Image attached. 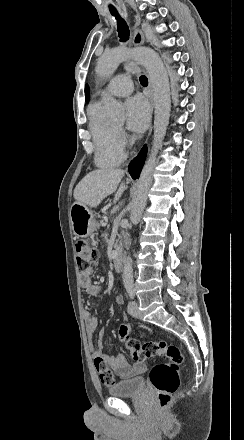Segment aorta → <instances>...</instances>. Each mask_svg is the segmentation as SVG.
<instances>
[{"mask_svg":"<svg viewBox=\"0 0 244 440\" xmlns=\"http://www.w3.org/2000/svg\"><path fill=\"white\" fill-rule=\"evenodd\" d=\"M132 58L143 65L149 76L154 95V136L151 147V154L146 161L136 189L131 201L130 220L131 223L139 222L143 210L146 206L147 196L152 184V175L157 163V154L161 148L165 136L170 111H171V93L167 70L159 55L146 47L125 49L115 48L103 54L98 61L97 74L102 78L110 77L117 69L118 65L124 60ZM104 110L108 120L119 122L125 118L124 106L116 99L109 97L104 100ZM123 283L125 286L133 284V268L131 257L125 258L123 266Z\"/></svg>","mask_w":244,"mask_h":440,"instance_id":"1","label":"aorta"}]
</instances>
